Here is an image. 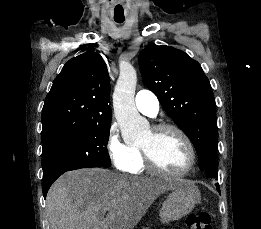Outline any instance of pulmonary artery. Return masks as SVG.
<instances>
[{"label":"pulmonary artery","instance_id":"e3ab8cb5","mask_svg":"<svg viewBox=\"0 0 261 229\" xmlns=\"http://www.w3.org/2000/svg\"><path fill=\"white\" fill-rule=\"evenodd\" d=\"M135 105L140 113L155 118L160 109L157 96L149 90H141L135 96Z\"/></svg>","mask_w":261,"mask_h":229}]
</instances>
